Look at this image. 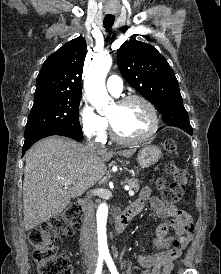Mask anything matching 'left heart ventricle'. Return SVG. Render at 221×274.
<instances>
[{
  "mask_svg": "<svg viewBox=\"0 0 221 274\" xmlns=\"http://www.w3.org/2000/svg\"><path fill=\"white\" fill-rule=\"evenodd\" d=\"M107 117L113 123L117 133L126 138L143 136L150 127V115L147 108L139 103L133 102L125 106L114 104Z\"/></svg>",
  "mask_w": 221,
  "mask_h": 274,
  "instance_id": "left-heart-ventricle-1",
  "label": "left heart ventricle"
}]
</instances>
